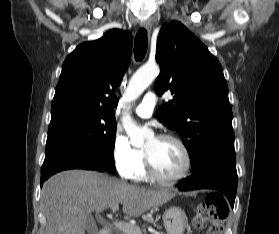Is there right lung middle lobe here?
<instances>
[{"mask_svg":"<svg viewBox=\"0 0 279 234\" xmlns=\"http://www.w3.org/2000/svg\"><path fill=\"white\" fill-rule=\"evenodd\" d=\"M115 136L113 114L81 109L54 111L51 112L45 159L64 150L81 151L115 173Z\"/></svg>","mask_w":279,"mask_h":234,"instance_id":"obj_1","label":"right lung middle lobe"}]
</instances>
